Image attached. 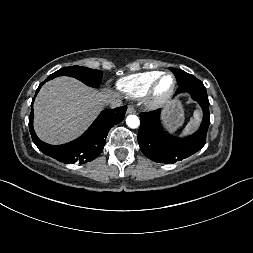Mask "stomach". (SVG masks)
I'll return each instance as SVG.
<instances>
[{"mask_svg":"<svg viewBox=\"0 0 253 253\" xmlns=\"http://www.w3.org/2000/svg\"><path fill=\"white\" fill-rule=\"evenodd\" d=\"M164 120L171 131H176L184 123V111L179 101H173L166 109Z\"/></svg>","mask_w":253,"mask_h":253,"instance_id":"1","label":"stomach"}]
</instances>
